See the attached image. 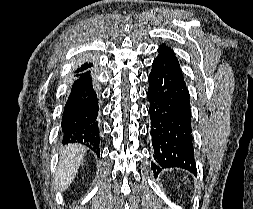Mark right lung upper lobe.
Returning <instances> with one entry per match:
<instances>
[{"label": "right lung upper lobe", "instance_id": "obj_1", "mask_svg": "<svg viewBox=\"0 0 253 209\" xmlns=\"http://www.w3.org/2000/svg\"><path fill=\"white\" fill-rule=\"evenodd\" d=\"M93 64L91 62H83L75 71V73H82L91 69Z\"/></svg>", "mask_w": 253, "mask_h": 209}]
</instances>
